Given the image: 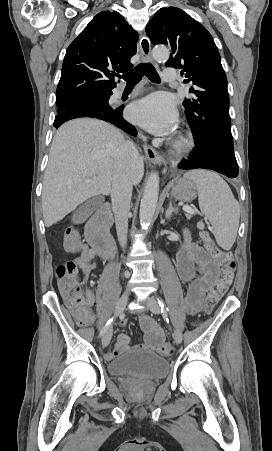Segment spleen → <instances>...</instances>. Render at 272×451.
Here are the masks:
<instances>
[{
    "mask_svg": "<svg viewBox=\"0 0 272 451\" xmlns=\"http://www.w3.org/2000/svg\"><path fill=\"white\" fill-rule=\"evenodd\" d=\"M183 178L196 184L200 210L209 218L218 245L231 249L238 231L240 206L228 184L221 176L207 170H192Z\"/></svg>",
    "mask_w": 272,
    "mask_h": 451,
    "instance_id": "obj_1",
    "label": "spleen"
}]
</instances>
